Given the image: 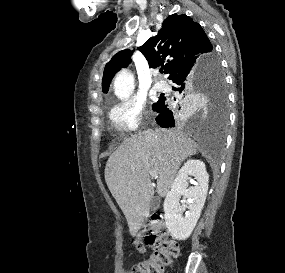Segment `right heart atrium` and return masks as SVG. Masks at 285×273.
<instances>
[{
    "mask_svg": "<svg viewBox=\"0 0 285 273\" xmlns=\"http://www.w3.org/2000/svg\"><path fill=\"white\" fill-rule=\"evenodd\" d=\"M144 110V103L136 99L119 102L110 113L114 128L123 133L136 132L142 126Z\"/></svg>",
    "mask_w": 285,
    "mask_h": 273,
    "instance_id": "right-heart-atrium-1",
    "label": "right heart atrium"
}]
</instances>
